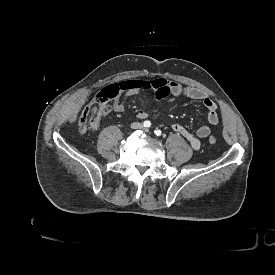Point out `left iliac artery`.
Listing matches in <instances>:
<instances>
[{
	"label": "left iliac artery",
	"instance_id": "1",
	"mask_svg": "<svg viewBox=\"0 0 275 275\" xmlns=\"http://www.w3.org/2000/svg\"><path fill=\"white\" fill-rule=\"evenodd\" d=\"M155 135L160 136L162 134L161 130L156 129L154 130Z\"/></svg>",
	"mask_w": 275,
	"mask_h": 275
}]
</instances>
